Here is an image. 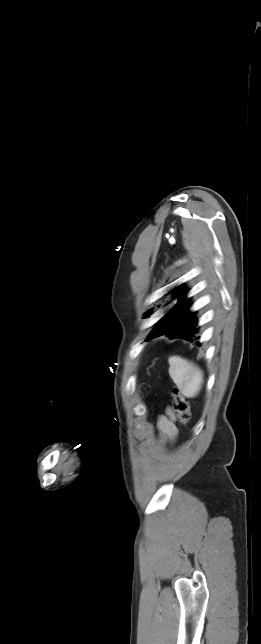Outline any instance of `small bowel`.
Returning <instances> with one entry per match:
<instances>
[{
  "mask_svg": "<svg viewBox=\"0 0 261 644\" xmlns=\"http://www.w3.org/2000/svg\"><path fill=\"white\" fill-rule=\"evenodd\" d=\"M160 439L162 443L173 441L177 436L175 425V414L171 408H168L165 415L158 418L157 421Z\"/></svg>",
  "mask_w": 261,
  "mask_h": 644,
  "instance_id": "1",
  "label": "small bowel"
}]
</instances>
